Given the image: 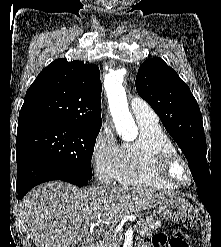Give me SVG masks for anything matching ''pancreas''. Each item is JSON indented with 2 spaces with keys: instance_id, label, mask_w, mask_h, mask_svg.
Segmentation results:
<instances>
[{
  "instance_id": "cf45deb5",
  "label": "pancreas",
  "mask_w": 221,
  "mask_h": 247,
  "mask_svg": "<svg viewBox=\"0 0 221 247\" xmlns=\"http://www.w3.org/2000/svg\"><path fill=\"white\" fill-rule=\"evenodd\" d=\"M133 228L139 237H145L150 236L157 226L154 219L149 217L146 220L140 219ZM120 242L121 238L110 236L101 241L99 247H119Z\"/></svg>"
}]
</instances>
